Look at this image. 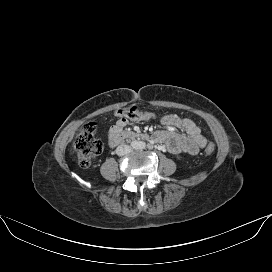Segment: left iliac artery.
<instances>
[{"label": "left iliac artery", "instance_id": "left-iliac-artery-1", "mask_svg": "<svg viewBox=\"0 0 272 272\" xmlns=\"http://www.w3.org/2000/svg\"><path fill=\"white\" fill-rule=\"evenodd\" d=\"M146 148V144L144 142H140L138 144V149H145Z\"/></svg>", "mask_w": 272, "mask_h": 272}]
</instances>
